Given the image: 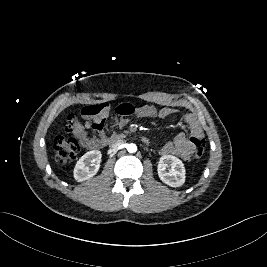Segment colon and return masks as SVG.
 <instances>
[{"label": "colon", "mask_w": 267, "mask_h": 267, "mask_svg": "<svg viewBox=\"0 0 267 267\" xmlns=\"http://www.w3.org/2000/svg\"><path fill=\"white\" fill-rule=\"evenodd\" d=\"M83 115V111H81ZM75 123V116L70 115L68 117V128L73 130ZM191 143L194 148V155L200 159L205 152V141L200 138H192ZM54 158L55 162L59 165H64L74 160L80 152V142L76 138H66L62 135L57 136L54 139Z\"/></svg>", "instance_id": "5ec220e1"}]
</instances>
